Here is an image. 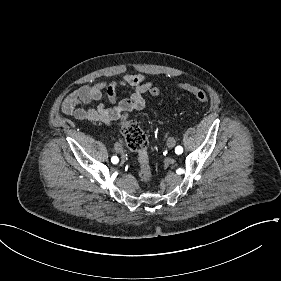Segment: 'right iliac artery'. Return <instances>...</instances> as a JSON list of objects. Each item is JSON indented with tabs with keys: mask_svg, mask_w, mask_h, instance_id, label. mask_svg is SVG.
<instances>
[{
	"mask_svg": "<svg viewBox=\"0 0 281 281\" xmlns=\"http://www.w3.org/2000/svg\"><path fill=\"white\" fill-rule=\"evenodd\" d=\"M118 157H116V156H113L112 158H111V161H112V163H117L118 162Z\"/></svg>",
	"mask_w": 281,
	"mask_h": 281,
	"instance_id": "obj_1",
	"label": "right iliac artery"
}]
</instances>
